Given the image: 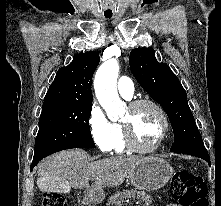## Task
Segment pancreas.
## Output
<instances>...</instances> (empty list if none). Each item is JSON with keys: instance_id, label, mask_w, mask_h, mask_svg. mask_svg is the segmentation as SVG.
<instances>
[{"instance_id": "cf45deb5", "label": "pancreas", "mask_w": 221, "mask_h": 206, "mask_svg": "<svg viewBox=\"0 0 221 206\" xmlns=\"http://www.w3.org/2000/svg\"><path fill=\"white\" fill-rule=\"evenodd\" d=\"M137 197V204L142 206H151L152 199L144 192L136 190H124L123 192H117L108 198V206H122L124 202L129 201L131 198Z\"/></svg>"}]
</instances>
